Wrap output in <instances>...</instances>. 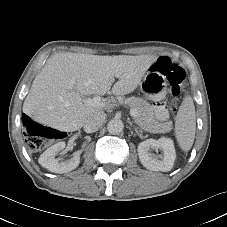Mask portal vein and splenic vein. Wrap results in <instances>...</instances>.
<instances>
[{
    "mask_svg": "<svg viewBox=\"0 0 227 227\" xmlns=\"http://www.w3.org/2000/svg\"><path fill=\"white\" fill-rule=\"evenodd\" d=\"M85 103H87L90 106H97V107L98 106H100V107L104 106V102L102 101L101 97L98 96V95H95L92 99L91 98L86 99ZM130 114L133 118H136V116H137L136 109L131 108Z\"/></svg>",
    "mask_w": 227,
    "mask_h": 227,
    "instance_id": "portal-vein-and-splenic-vein-1",
    "label": "portal vein and splenic vein"
}]
</instances>
